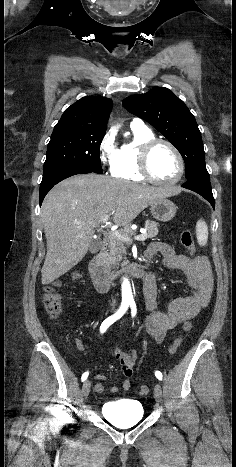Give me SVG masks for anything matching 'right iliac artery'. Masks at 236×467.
Listing matches in <instances>:
<instances>
[{"label": "right iliac artery", "instance_id": "obj_1", "mask_svg": "<svg viewBox=\"0 0 236 467\" xmlns=\"http://www.w3.org/2000/svg\"><path fill=\"white\" fill-rule=\"evenodd\" d=\"M128 307H129V303H127V302L122 303L120 308L118 309V311L115 314L109 316L107 319H105L102 322V324L100 326V333L103 334L110 325H112L115 321L120 319L126 313V311L128 310ZM88 375H89L88 372L83 373V375L81 377V380L85 381L87 379Z\"/></svg>", "mask_w": 236, "mask_h": 467}]
</instances>
